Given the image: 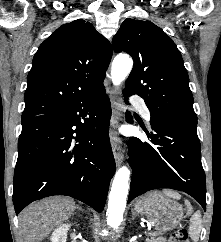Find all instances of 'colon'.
Listing matches in <instances>:
<instances>
[{"label": "colon", "instance_id": "5ec220e1", "mask_svg": "<svg viewBox=\"0 0 221 242\" xmlns=\"http://www.w3.org/2000/svg\"><path fill=\"white\" fill-rule=\"evenodd\" d=\"M169 242H189L187 230L184 228L176 229L172 233Z\"/></svg>", "mask_w": 221, "mask_h": 242}]
</instances>
